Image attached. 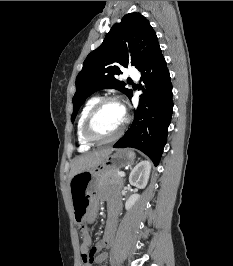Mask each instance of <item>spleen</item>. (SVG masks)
I'll return each mask as SVG.
<instances>
[{
    "mask_svg": "<svg viewBox=\"0 0 233 266\" xmlns=\"http://www.w3.org/2000/svg\"><path fill=\"white\" fill-rule=\"evenodd\" d=\"M130 154H131V156H132V157H134V155H135V154H134V153H132V152H131Z\"/></svg>",
    "mask_w": 233,
    "mask_h": 266,
    "instance_id": "3e777b00",
    "label": "spleen"
}]
</instances>
